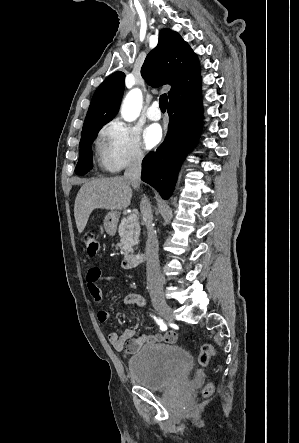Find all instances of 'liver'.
<instances>
[{
    "mask_svg": "<svg viewBox=\"0 0 299 443\" xmlns=\"http://www.w3.org/2000/svg\"><path fill=\"white\" fill-rule=\"evenodd\" d=\"M132 188L124 177L93 179L83 184L76 196L74 217L79 233L87 225L95 209L122 210L130 205Z\"/></svg>",
    "mask_w": 299,
    "mask_h": 443,
    "instance_id": "1",
    "label": "liver"
}]
</instances>
